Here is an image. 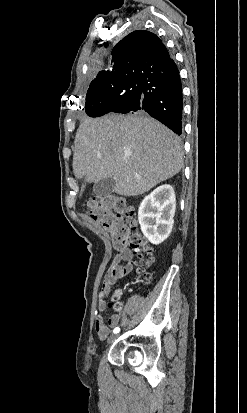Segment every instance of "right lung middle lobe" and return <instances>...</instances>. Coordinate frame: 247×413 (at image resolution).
<instances>
[{"mask_svg": "<svg viewBox=\"0 0 247 413\" xmlns=\"http://www.w3.org/2000/svg\"><path fill=\"white\" fill-rule=\"evenodd\" d=\"M126 85L123 81L93 80L86 95L85 111L92 116L111 97L125 92Z\"/></svg>", "mask_w": 247, "mask_h": 413, "instance_id": "obj_1", "label": "right lung middle lobe"}]
</instances>
